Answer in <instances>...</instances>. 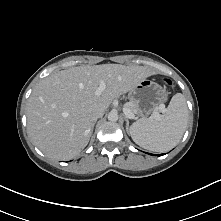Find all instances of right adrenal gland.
<instances>
[{"label": "right adrenal gland", "mask_w": 221, "mask_h": 221, "mask_svg": "<svg viewBox=\"0 0 221 221\" xmlns=\"http://www.w3.org/2000/svg\"><path fill=\"white\" fill-rule=\"evenodd\" d=\"M95 124H96V121H94L92 124L91 134L93 133V129H94Z\"/></svg>", "instance_id": "obj_1"}]
</instances>
